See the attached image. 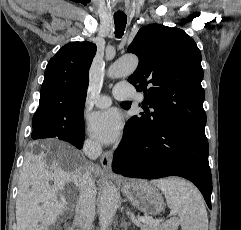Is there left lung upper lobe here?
Segmentation results:
<instances>
[{
    "mask_svg": "<svg viewBox=\"0 0 241 230\" xmlns=\"http://www.w3.org/2000/svg\"><path fill=\"white\" fill-rule=\"evenodd\" d=\"M128 52L139 58L128 81L147 98L141 104L145 112L133 117L143 129L155 132L170 122L205 127L201 53L190 36L179 28L145 26L136 34ZM122 106L128 109L130 104Z\"/></svg>",
    "mask_w": 241,
    "mask_h": 230,
    "instance_id": "5c2ea615",
    "label": "left lung upper lobe"
}]
</instances>
